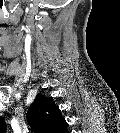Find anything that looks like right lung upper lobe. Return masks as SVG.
I'll return each instance as SVG.
<instances>
[{"label": "right lung upper lobe", "mask_w": 120, "mask_h": 133, "mask_svg": "<svg viewBox=\"0 0 120 133\" xmlns=\"http://www.w3.org/2000/svg\"><path fill=\"white\" fill-rule=\"evenodd\" d=\"M27 116L30 125L35 130L66 131L67 123L52 98H46L44 95L38 94L30 106Z\"/></svg>", "instance_id": "right-lung-upper-lobe-1"}]
</instances>
